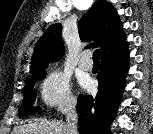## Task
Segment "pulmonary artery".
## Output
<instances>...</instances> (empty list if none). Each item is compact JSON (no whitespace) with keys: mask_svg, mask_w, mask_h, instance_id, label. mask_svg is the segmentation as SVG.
<instances>
[{"mask_svg":"<svg viewBox=\"0 0 153 134\" xmlns=\"http://www.w3.org/2000/svg\"><path fill=\"white\" fill-rule=\"evenodd\" d=\"M79 65L83 70H91L93 67V62L90 58V52L86 51L83 52L80 61H79Z\"/></svg>","mask_w":153,"mask_h":134,"instance_id":"pulmonary-artery-1","label":"pulmonary artery"}]
</instances>
